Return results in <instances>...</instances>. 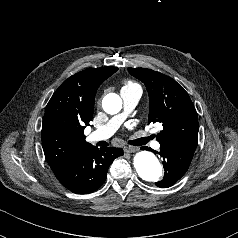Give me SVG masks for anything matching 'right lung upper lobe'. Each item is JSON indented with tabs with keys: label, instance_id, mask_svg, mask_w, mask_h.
I'll list each match as a JSON object with an SVG mask.
<instances>
[{
	"label": "right lung upper lobe",
	"instance_id": "obj_1",
	"mask_svg": "<svg viewBox=\"0 0 238 238\" xmlns=\"http://www.w3.org/2000/svg\"><path fill=\"white\" fill-rule=\"evenodd\" d=\"M117 70L100 67L78 72L65 80L48 102L42 123V147L55 175L93 147L85 141L84 129L93 116L96 90Z\"/></svg>",
	"mask_w": 238,
	"mask_h": 238
}]
</instances>
